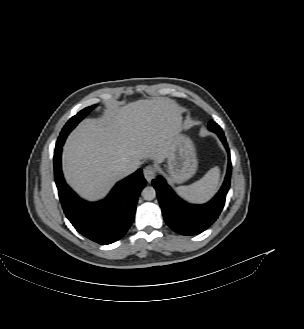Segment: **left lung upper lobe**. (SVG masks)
<instances>
[{"label":"left lung upper lobe","mask_w":304,"mask_h":329,"mask_svg":"<svg viewBox=\"0 0 304 329\" xmlns=\"http://www.w3.org/2000/svg\"><path fill=\"white\" fill-rule=\"evenodd\" d=\"M214 124V121H210L208 125H213Z\"/></svg>","instance_id":"obj_1"}]
</instances>
